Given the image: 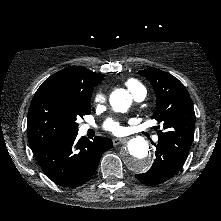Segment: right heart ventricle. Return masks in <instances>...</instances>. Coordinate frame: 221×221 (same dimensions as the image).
Returning <instances> with one entry per match:
<instances>
[{"label":"right heart ventricle","mask_w":221,"mask_h":221,"mask_svg":"<svg viewBox=\"0 0 221 221\" xmlns=\"http://www.w3.org/2000/svg\"><path fill=\"white\" fill-rule=\"evenodd\" d=\"M126 86L128 87L129 91L132 93L134 90H136L139 87H142V85L136 81V80H129L126 82Z\"/></svg>","instance_id":"e07e8e85"}]
</instances>
